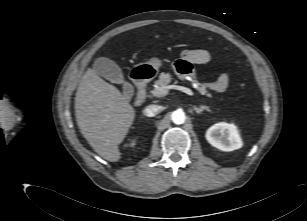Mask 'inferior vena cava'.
Returning <instances> with one entry per match:
<instances>
[{
	"label": "inferior vena cava",
	"instance_id": "inferior-vena-cava-1",
	"mask_svg": "<svg viewBox=\"0 0 307 221\" xmlns=\"http://www.w3.org/2000/svg\"><path fill=\"white\" fill-rule=\"evenodd\" d=\"M143 112L146 116H149V117L155 116L157 113L160 112V106L149 105L144 109Z\"/></svg>",
	"mask_w": 307,
	"mask_h": 221
}]
</instances>
